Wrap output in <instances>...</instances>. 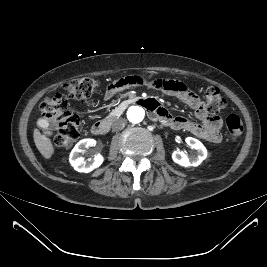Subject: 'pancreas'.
Listing matches in <instances>:
<instances>
[{
	"mask_svg": "<svg viewBox=\"0 0 267 267\" xmlns=\"http://www.w3.org/2000/svg\"><path fill=\"white\" fill-rule=\"evenodd\" d=\"M120 114V112L117 111H113L109 114V116L106 117L107 120H112L113 118H115L116 116H118Z\"/></svg>",
	"mask_w": 267,
	"mask_h": 267,
	"instance_id": "cf45deb5",
	"label": "pancreas"
}]
</instances>
